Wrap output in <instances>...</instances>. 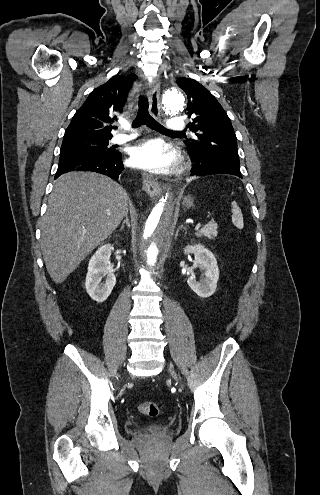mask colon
Returning a JSON list of instances; mask_svg holds the SVG:
<instances>
[{"instance_id": "1", "label": "colon", "mask_w": 320, "mask_h": 495, "mask_svg": "<svg viewBox=\"0 0 320 495\" xmlns=\"http://www.w3.org/2000/svg\"><path fill=\"white\" fill-rule=\"evenodd\" d=\"M138 410L149 417H156L159 413V404L155 401H146L138 404Z\"/></svg>"}]
</instances>
